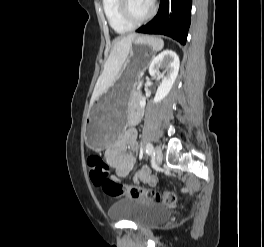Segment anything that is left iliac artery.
<instances>
[{
    "instance_id": "obj_1",
    "label": "left iliac artery",
    "mask_w": 264,
    "mask_h": 247,
    "mask_svg": "<svg viewBox=\"0 0 264 247\" xmlns=\"http://www.w3.org/2000/svg\"><path fill=\"white\" fill-rule=\"evenodd\" d=\"M146 152L148 155H154V148H153V145L151 143H147Z\"/></svg>"
}]
</instances>
